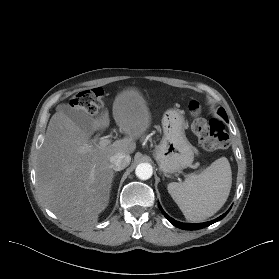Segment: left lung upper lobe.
<instances>
[{
  "label": "left lung upper lobe",
  "instance_id": "1",
  "mask_svg": "<svg viewBox=\"0 0 279 279\" xmlns=\"http://www.w3.org/2000/svg\"><path fill=\"white\" fill-rule=\"evenodd\" d=\"M219 114L225 119V121H228L226 112L223 108L219 109Z\"/></svg>",
  "mask_w": 279,
  "mask_h": 279
}]
</instances>
